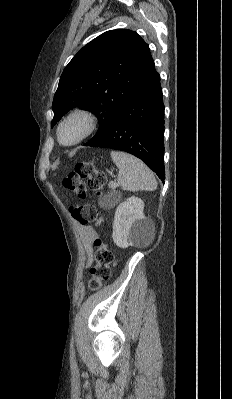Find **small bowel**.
<instances>
[{
  "instance_id": "c3829d8e",
  "label": "small bowel",
  "mask_w": 232,
  "mask_h": 399,
  "mask_svg": "<svg viewBox=\"0 0 232 399\" xmlns=\"http://www.w3.org/2000/svg\"><path fill=\"white\" fill-rule=\"evenodd\" d=\"M96 231L90 226H80L79 227V237L84 249V252L87 255V261H90L92 258V250H93V240L96 238Z\"/></svg>"
}]
</instances>
